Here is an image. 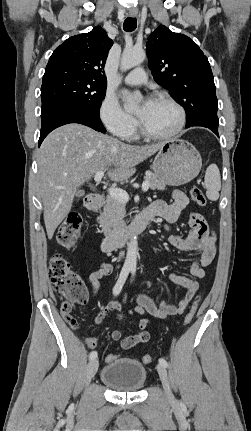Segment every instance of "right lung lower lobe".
<instances>
[{"label": "right lung lower lobe", "instance_id": "1", "mask_svg": "<svg viewBox=\"0 0 251 431\" xmlns=\"http://www.w3.org/2000/svg\"><path fill=\"white\" fill-rule=\"evenodd\" d=\"M42 127L39 146L44 138L55 128L69 123L86 125L96 131L105 133L99 114L70 105H55L41 112Z\"/></svg>", "mask_w": 251, "mask_h": 431}]
</instances>
